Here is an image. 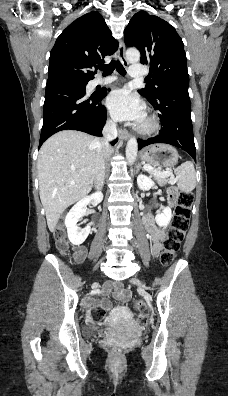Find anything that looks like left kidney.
Segmentation results:
<instances>
[{"label": "left kidney", "mask_w": 228, "mask_h": 396, "mask_svg": "<svg viewBox=\"0 0 228 396\" xmlns=\"http://www.w3.org/2000/svg\"><path fill=\"white\" fill-rule=\"evenodd\" d=\"M137 184L140 190H149L155 185L150 177L140 174L137 177ZM172 218V211L170 207H165L162 212L157 213L155 221L160 227H166Z\"/></svg>", "instance_id": "5707ae66"}]
</instances>
